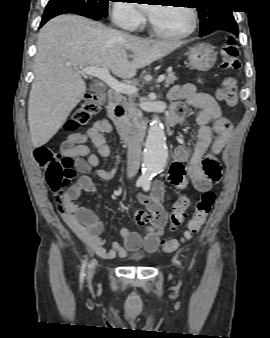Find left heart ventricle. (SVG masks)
Returning a JSON list of instances; mask_svg holds the SVG:
<instances>
[{"label":"left heart ventricle","mask_w":270,"mask_h":338,"mask_svg":"<svg viewBox=\"0 0 270 338\" xmlns=\"http://www.w3.org/2000/svg\"><path fill=\"white\" fill-rule=\"evenodd\" d=\"M149 11L154 25L161 32L182 33L191 26V14L186 7L151 5Z\"/></svg>","instance_id":"b2bd125f"}]
</instances>
